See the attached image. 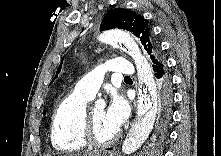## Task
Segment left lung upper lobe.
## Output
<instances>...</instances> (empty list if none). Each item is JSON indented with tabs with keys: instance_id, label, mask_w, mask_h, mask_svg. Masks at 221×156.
Returning <instances> with one entry per match:
<instances>
[{
	"instance_id": "obj_1",
	"label": "left lung upper lobe",
	"mask_w": 221,
	"mask_h": 156,
	"mask_svg": "<svg viewBox=\"0 0 221 156\" xmlns=\"http://www.w3.org/2000/svg\"><path fill=\"white\" fill-rule=\"evenodd\" d=\"M112 28L126 29L138 37L149 54L153 66L164 61L158 43L153 38L151 28L141 15L128 9H114L104 17L100 26L102 31ZM62 62L57 69L55 78L61 71Z\"/></svg>"
}]
</instances>
